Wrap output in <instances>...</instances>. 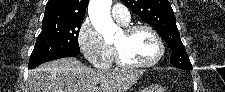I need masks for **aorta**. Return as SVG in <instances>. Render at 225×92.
<instances>
[{
    "label": "aorta",
    "instance_id": "1",
    "mask_svg": "<svg viewBox=\"0 0 225 92\" xmlns=\"http://www.w3.org/2000/svg\"><path fill=\"white\" fill-rule=\"evenodd\" d=\"M112 0H90L88 14L93 27L104 37L105 41L113 39L119 27L111 18Z\"/></svg>",
    "mask_w": 225,
    "mask_h": 92
}]
</instances>
